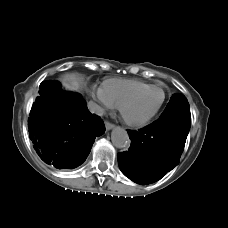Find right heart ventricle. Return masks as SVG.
<instances>
[{
	"label": "right heart ventricle",
	"instance_id": "1",
	"mask_svg": "<svg viewBox=\"0 0 228 228\" xmlns=\"http://www.w3.org/2000/svg\"><path fill=\"white\" fill-rule=\"evenodd\" d=\"M150 86V84L136 79H107L102 84V91L113 106H119L128 95Z\"/></svg>",
	"mask_w": 228,
	"mask_h": 228
}]
</instances>
